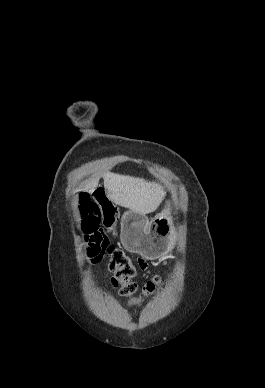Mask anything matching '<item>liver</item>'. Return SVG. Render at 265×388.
Here are the masks:
<instances>
[{"label":"liver","instance_id":"6515ba94","mask_svg":"<svg viewBox=\"0 0 265 388\" xmlns=\"http://www.w3.org/2000/svg\"><path fill=\"white\" fill-rule=\"evenodd\" d=\"M104 188L108 200L114 202L116 206L129 208L136 214H150L157 210L160 202L164 200L166 194L156 182H146L142 178H132V176H120V174H103ZM99 178H94L90 182H85L83 190L90 192L97 188Z\"/></svg>","mask_w":265,"mask_h":388}]
</instances>
